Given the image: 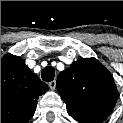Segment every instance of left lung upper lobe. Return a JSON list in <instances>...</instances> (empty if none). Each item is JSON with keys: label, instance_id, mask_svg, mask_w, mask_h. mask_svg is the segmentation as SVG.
I'll return each instance as SVG.
<instances>
[{"label": "left lung upper lobe", "instance_id": "left-lung-upper-lobe-1", "mask_svg": "<svg viewBox=\"0 0 123 123\" xmlns=\"http://www.w3.org/2000/svg\"><path fill=\"white\" fill-rule=\"evenodd\" d=\"M57 90L77 121L98 122L112 112L119 93L110 72L95 58H83L62 71Z\"/></svg>", "mask_w": 123, "mask_h": 123}]
</instances>
